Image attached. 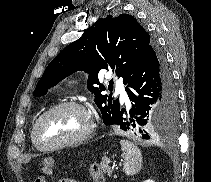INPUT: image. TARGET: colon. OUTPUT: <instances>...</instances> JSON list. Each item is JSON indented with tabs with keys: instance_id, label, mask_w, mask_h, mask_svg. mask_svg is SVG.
Returning <instances> with one entry per match:
<instances>
[{
	"instance_id": "1",
	"label": "colon",
	"mask_w": 211,
	"mask_h": 182,
	"mask_svg": "<svg viewBox=\"0 0 211 182\" xmlns=\"http://www.w3.org/2000/svg\"><path fill=\"white\" fill-rule=\"evenodd\" d=\"M42 171L43 175L36 177L34 182H45V176H50L52 174V166L47 164L43 167ZM90 175L94 182H105V176L96 163H93L90 166Z\"/></svg>"
}]
</instances>
